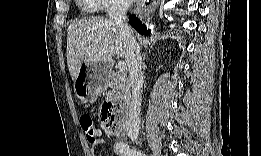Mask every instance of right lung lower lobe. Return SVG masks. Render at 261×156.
Returning a JSON list of instances; mask_svg holds the SVG:
<instances>
[{"instance_id": "right-lung-lower-lobe-1", "label": "right lung lower lobe", "mask_w": 261, "mask_h": 156, "mask_svg": "<svg viewBox=\"0 0 261 156\" xmlns=\"http://www.w3.org/2000/svg\"><path fill=\"white\" fill-rule=\"evenodd\" d=\"M129 23L134 27L140 34H149L150 32L146 30V26L141 23V21L135 16L131 15L129 17Z\"/></svg>"}]
</instances>
